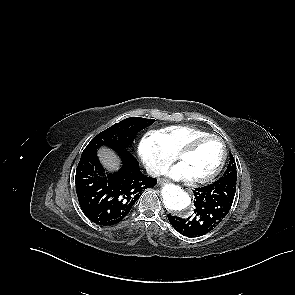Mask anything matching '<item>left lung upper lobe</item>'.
Listing matches in <instances>:
<instances>
[{
  "label": "left lung upper lobe",
  "instance_id": "left-lung-upper-lobe-1",
  "mask_svg": "<svg viewBox=\"0 0 295 295\" xmlns=\"http://www.w3.org/2000/svg\"><path fill=\"white\" fill-rule=\"evenodd\" d=\"M224 177H233L237 179L236 163L232 154L230 156L229 165L221 178Z\"/></svg>",
  "mask_w": 295,
  "mask_h": 295
}]
</instances>
